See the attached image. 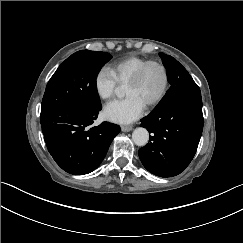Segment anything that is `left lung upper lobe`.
Segmentation results:
<instances>
[{
	"label": "left lung upper lobe",
	"mask_w": 243,
	"mask_h": 243,
	"mask_svg": "<svg viewBox=\"0 0 243 243\" xmlns=\"http://www.w3.org/2000/svg\"><path fill=\"white\" fill-rule=\"evenodd\" d=\"M159 55L166 68L168 81L171 86L156 108L163 106L166 101L178 94H201L198 85L194 82L187 70L175 58L164 53H160Z\"/></svg>",
	"instance_id": "left-lung-upper-lobe-1"
}]
</instances>
